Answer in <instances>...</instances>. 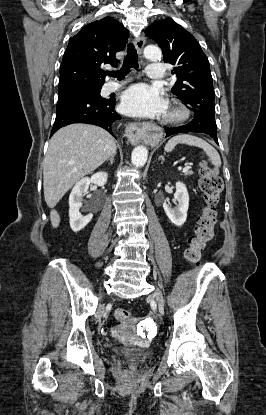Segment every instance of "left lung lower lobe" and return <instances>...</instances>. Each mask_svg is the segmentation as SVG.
Instances as JSON below:
<instances>
[{
  "label": "left lung lower lobe",
  "mask_w": 266,
  "mask_h": 415,
  "mask_svg": "<svg viewBox=\"0 0 266 415\" xmlns=\"http://www.w3.org/2000/svg\"><path fill=\"white\" fill-rule=\"evenodd\" d=\"M164 129H165V132H166V137H168L170 135H173V134L184 133V132L205 133V134H208L209 136H211L215 140V142L218 144L217 134L206 133V132L199 131V130L189 126L188 124L184 125V126L176 127V128L164 127Z\"/></svg>",
  "instance_id": "left-lung-lower-lobe-1"
}]
</instances>
